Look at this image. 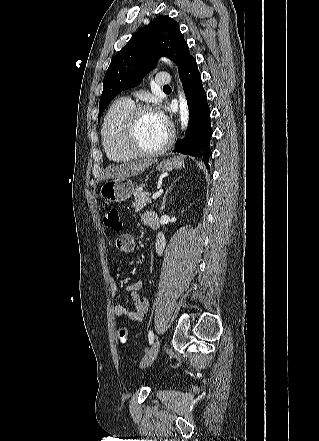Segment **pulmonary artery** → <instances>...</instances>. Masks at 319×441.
I'll use <instances>...</instances> for the list:
<instances>
[{"mask_svg":"<svg viewBox=\"0 0 319 441\" xmlns=\"http://www.w3.org/2000/svg\"><path fill=\"white\" fill-rule=\"evenodd\" d=\"M171 81L170 75L166 72L159 73L155 78V84L157 86H167Z\"/></svg>","mask_w":319,"mask_h":441,"instance_id":"obj_1","label":"pulmonary artery"}]
</instances>
